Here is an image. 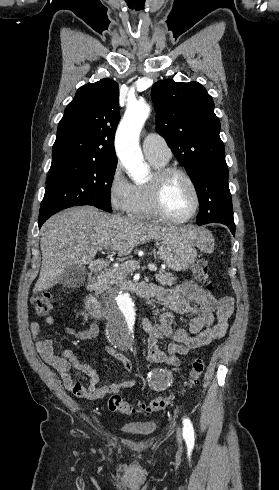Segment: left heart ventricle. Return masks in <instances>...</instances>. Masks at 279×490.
Wrapping results in <instances>:
<instances>
[{
    "instance_id": "obj_1",
    "label": "left heart ventricle",
    "mask_w": 279,
    "mask_h": 490,
    "mask_svg": "<svg viewBox=\"0 0 279 490\" xmlns=\"http://www.w3.org/2000/svg\"><path fill=\"white\" fill-rule=\"evenodd\" d=\"M194 200L193 189L184 177L174 175L169 178L163 195V204L171 217H186L194 206Z\"/></svg>"
}]
</instances>
